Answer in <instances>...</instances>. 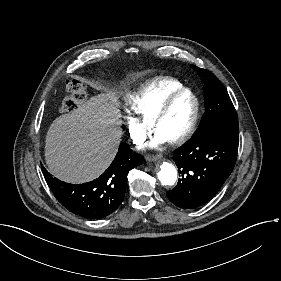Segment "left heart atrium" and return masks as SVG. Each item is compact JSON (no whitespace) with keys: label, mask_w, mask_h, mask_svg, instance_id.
Wrapping results in <instances>:
<instances>
[{"label":"left heart atrium","mask_w":281,"mask_h":281,"mask_svg":"<svg viewBox=\"0 0 281 281\" xmlns=\"http://www.w3.org/2000/svg\"><path fill=\"white\" fill-rule=\"evenodd\" d=\"M166 140L161 136L155 134L154 139L146 145L147 148H158L162 144H164Z\"/></svg>","instance_id":"left-heart-atrium-1"}]
</instances>
